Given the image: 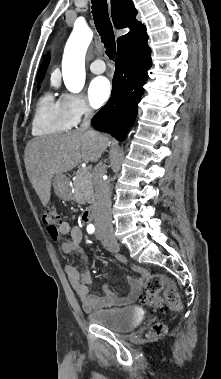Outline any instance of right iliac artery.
<instances>
[{"mask_svg": "<svg viewBox=\"0 0 221 379\" xmlns=\"http://www.w3.org/2000/svg\"><path fill=\"white\" fill-rule=\"evenodd\" d=\"M94 230H95L94 225L90 224V225L87 226V232H88L89 234L94 233Z\"/></svg>", "mask_w": 221, "mask_h": 379, "instance_id": "1", "label": "right iliac artery"}]
</instances>
